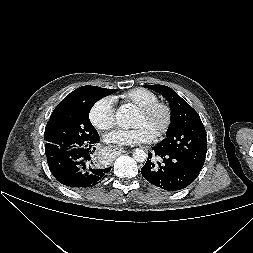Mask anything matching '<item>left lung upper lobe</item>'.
Segmentation results:
<instances>
[{
	"label": "left lung upper lobe",
	"mask_w": 253,
	"mask_h": 253,
	"mask_svg": "<svg viewBox=\"0 0 253 253\" xmlns=\"http://www.w3.org/2000/svg\"><path fill=\"white\" fill-rule=\"evenodd\" d=\"M163 95L170 104L171 125L167 137L157 145L198 169H202L207 150L204 125L198 113L174 90L164 85H144Z\"/></svg>",
	"instance_id": "left-lung-upper-lobe-1"
}]
</instances>
